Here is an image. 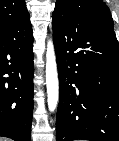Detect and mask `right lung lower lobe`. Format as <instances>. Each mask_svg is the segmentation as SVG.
Segmentation results:
<instances>
[{
    "label": "right lung lower lobe",
    "mask_w": 119,
    "mask_h": 141,
    "mask_svg": "<svg viewBox=\"0 0 119 141\" xmlns=\"http://www.w3.org/2000/svg\"><path fill=\"white\" fill-rule=\"evenodd\" d=\"M33 33L29 17L0 25V136L31 140Z\"/></svg>",
    "instance_id": "right-lung-lower-lobe-1"
}]
</instances>
